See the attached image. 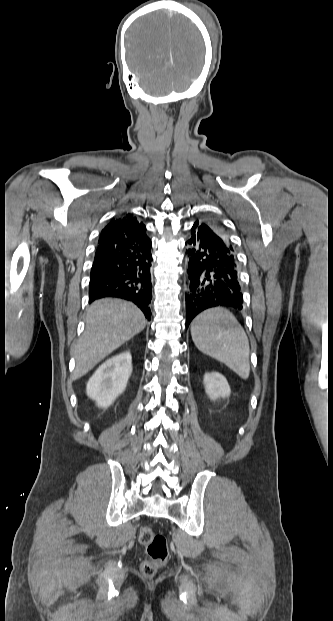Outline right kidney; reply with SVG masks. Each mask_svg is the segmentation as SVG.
Returning a JSON list of instances; mask_svg holds the SVG:
<instances>
[{
	"instance_id": "1",
	"label": "right kidney",
	"mask_w": 333,
	"mask_h": 621,
	"mask_svg": "<svg viewBox=\"0 0 333 621\" xmlns=\"http://www.w3.org/2000/svg\"><path fill=\"white\" fill-rule=\"evenodd\" d=\"M132 373V357L129 351L106 360L89 379L87 396L100 408H107L123 393Z\"/></svg>"
}]
</instances>
